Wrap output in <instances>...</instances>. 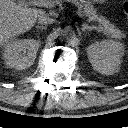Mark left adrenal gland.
<instances>
[{"label":"left adrenal gland","instance_id":"a2214340","mask_svg":"<svg viewBox=\"0 0 128 128\" xmlns=\"http://www.w3.org/2000/svg\"><path fill=\"white\" fill-rule=\"evenodd\" d=\"M92 27L88 26L87 24H83L81 30L85 32L86 30L92 31Z\"/></svg>","mask_w":128,"mask_h":128}]
</instances>
